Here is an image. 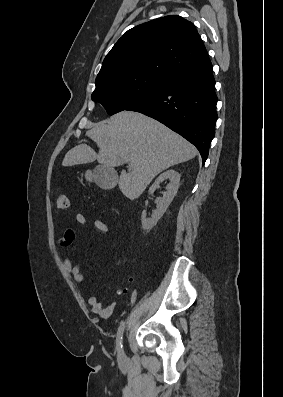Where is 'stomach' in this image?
<instances>
[{
  "label": "stomach",
  "mask_w": 283,
  "mask_h": 397,
  "mask_svg": "<svg viewBox=\"0 0 283 397\" xmlns=\"http://www.w3.org/2000/svg\"><path fill=\"white\" fill-rule=\"evenodd\" d=\"M85 177H86L87 180L90 181L92 179V177H93V174L91 173V171L88 170L86 172V174H85Z\"/></svg>",
  "instance_id": "1"
}]
</instances>
